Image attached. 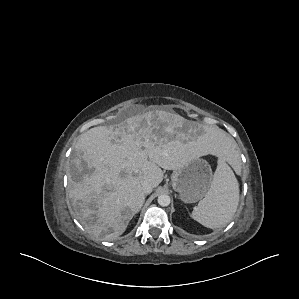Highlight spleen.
I'll use <instances>...</instances> for the list:
<instances>
[{
    "mask_svg": "<svg viewBox=\"0 0 299 299\" xmlns=\"http://www.w3.org/2000/svg\"><path fill=\"white\" fill-rule=\"evenodd\" d=\"M226 162L225 154L220 155L211 188L191 214L194 220L207 228L217 229L226 225L238 207L239 184Z\"/></svg>",
    "mask_w": 299,
    "mask_h": 299,
    "instance_id": "spleen-1",
    "label": "spleen"
}]
</instances>
